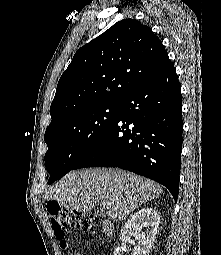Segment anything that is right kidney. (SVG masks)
<instances>
[{
  "label": "right kidney",
  "mask_w": 221,
  "mask_h": 255,
  "mask_svg": "<svg viewBox=\"0 0 221 255\" xmlns=\"http://www.w3.org/2000/svg\"><path fill=\"white\" fill-rule=\"evenodd\" d=\"M160 216L158 212L149 207L142 208L133 214L122 227L120 240L122 246H118L114 255H124L127 251L126 243L130 237H135L137 245L132 250V255H147L152 247L159 228Z\"/></svg>",
  "instance_id": "obj_1"
}]
</instances>
